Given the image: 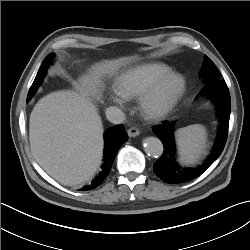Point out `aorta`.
<instances>
[{
	"instance_id": "1",
	"label": "aorta",
	"mask_w": 250,
	"mask_h": 250,
	"mask_svg": "<svg viewBox=\"0 0 250 250\" xmlns=\"http://www.w3.org/2000/svg\"><path fill=\"white\" fill-rule=\"evenodd\" d=\"M163 144L157 137H147L144 139V151L151 157H160L163 154Z\"/></svg>"
}]
</instances>
